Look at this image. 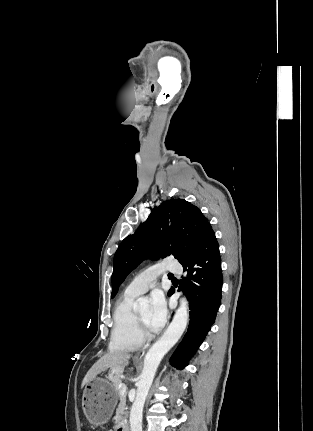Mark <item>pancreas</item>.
<instances>
[{
  "instance_id": "cf45deb5",
  "label": "pancreas",
  "mask_w": 313,
  "mask_h": 431,
  "mask_svg": "<svg viewBox=\"0 0 313 431\" xmlns=\"http://www.w3.org/2000/svg\"><path fill=\"white\" fill-rule=\"evenodd\" d=\"M109 379L114 385L115 391L117 393V396L120 397V404L118 405V408L116 409V424L117 427L120 426L126 419L127 412H126V395L123 396L120 393L119 384L122 382L120 378V374L111 375L109 376Z\"/></svg>"
}]
</instances>
